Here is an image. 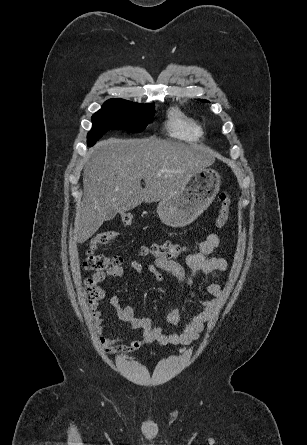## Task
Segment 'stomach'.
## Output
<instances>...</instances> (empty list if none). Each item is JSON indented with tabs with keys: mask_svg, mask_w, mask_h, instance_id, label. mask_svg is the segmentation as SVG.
<instances>
[{
	"mask_svg": "<svg viewBox=\"0 0 307 445\" xmlns=\"http://www.w3.org/2000/svg\"><path fill=\"white\" fill-rule=\"evenodd\" d=\"M221 184V176L214 168H200L191 174L180 194L161 198L157 214L164 225L172 229H182L193 223L211 202Z\"/></svg>",
	"mask_w": 307,
	"mask_h": 445,
	"instance_id": "stomach-1",
	"label": "stomach"
}]
</instances>
